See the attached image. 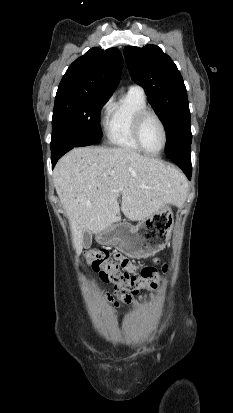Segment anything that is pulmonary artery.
I'll return each instance as SVG.
<instances>
[{"mask_svg":"<svg viewBox=\"0 0 233 413\" xmlns=\"http://www.w3.org/2000/svg\"><path fill=\"white\" fill-rule=\"evenodd\" d=\"M130 88L143 91L142 88H141L140 86H137V85H133V86H131Z\"/></svg>","mask_w":233,"mask_h":413,"instance_id":"obj_1","label":"pulmonary artery"}]
</instances>
